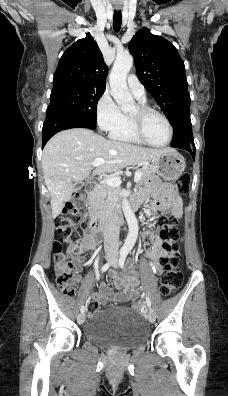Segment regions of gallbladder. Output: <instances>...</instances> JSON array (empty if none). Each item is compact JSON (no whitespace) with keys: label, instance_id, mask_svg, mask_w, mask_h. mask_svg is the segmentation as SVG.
Listing matches in <instances>:
<instances>
[{"label":"gallbladder","instance_id":"bac80fb5","mask_svg":"<svg viewBox=\"0 0 228 396\" xmlns=\"http://www.w3.org/2000/svg\"><path fill=\"white\" fill-rule=\"evenodd\" d=\"M81 188H82V184H76V185H75V189H76V190H79V189H81Z\"/></svg>","mask_w":228,"mask_h":396}]
</instances>
